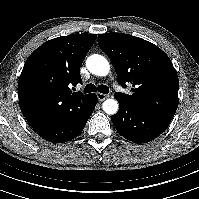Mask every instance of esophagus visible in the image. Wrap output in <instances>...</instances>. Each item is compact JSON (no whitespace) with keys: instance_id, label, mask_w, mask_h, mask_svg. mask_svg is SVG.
Here are the masks:
<instances>
[{"instance_id":"obj_1","label":"esophagus","mask_w":199,"mask_h":199,"mask_svg":"<svg viewBox=\"0 0 199 199\" xmlns=\"http://www.w3.org/2000/svg\"><path fill=\"white\" fill-rule=\"evenodd\" d=\"M96 95H97L99 101H103L109 97V95H106L103 93H97Z\"/></svg>"}]
</instances>
